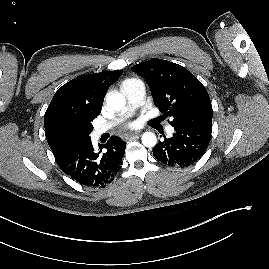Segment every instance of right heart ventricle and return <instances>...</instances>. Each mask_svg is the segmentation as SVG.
Returning <instances> with one entry per match:
<instances>
[{"label":"right heart ventricle","mask_w":269,"mask_h":269,"mask_svg":"<svg viewBox=\"0 0 269 269\" xmlns=\"http://www.w3.org/2000/svg\"><path fill=\"white\" fill-rule=\"evenodd\" d=\"M130 80H133V79H128V80H125L124 82L130 81Z\"/></svg>","instance_id":"obj_1"}]
</instances>
